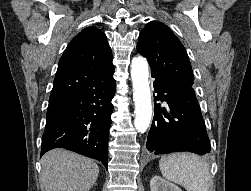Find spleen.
I'll return each mask as SVG.
<instances>
[{
	"label": "spleen",
	"instance_id": "obj_1",
	"mask_svg": "<svg viewBox=\"0 0 251 191\" xmlns=\"http://www.w3.org/2000/svg\"><path fill=\"white\" fill-rule=\"evenodd\" d=\"M162 175L170 181L180 183L187 191H208L210 171L208 163L194 153H170L159 161Z\"/></svg>",
	"mask_w": 251,
	"mask_h": 191
}]
</instances>
